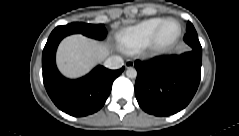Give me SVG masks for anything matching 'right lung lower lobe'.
Returning <instances> with one entry per match:
<instances>
[{
  "label": "right lung lower lobe",
  "instance_id": "1",
  "mask_svg": "<svg viewBox=\"0 0 239 136\" xmlns=\"http://www.w3.org/2000/svg\"><path fill=\"white\" fill-rule=\"evenodd\" d=\"M65 34L54 29L43 49V82L54 104L63 112L81 117L98 111L108 98L113 81L122 73L97 66L88 75L70 80L62 76L55 64V53Z\"/></svg>",
  "mask_w": 239,
  "mask_h": 136
}]
</instances>
